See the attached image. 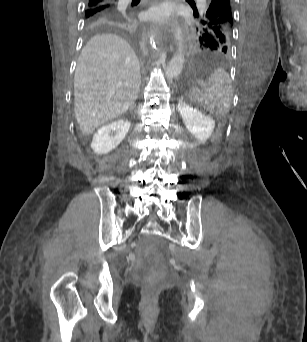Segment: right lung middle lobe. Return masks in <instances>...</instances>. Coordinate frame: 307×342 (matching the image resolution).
Masks as SVG:
<instances>
[{
	"mask_svg": "<svg viewBox=\"0 0 307 342\" xmlns=\"http://www.w3.org/2000/svg\"><path fill=\"white\" fill-rule=\"evenodd\" d=\"M91 12H92L91 10H85V16L91 14Z\"/></svg>",
	"mask_w": 307,
	"mask_h": 342,
	"instance_id": "right-lung-middle-lobe-1",
	"label": "right lung middle lobe"
}]
</instances>
